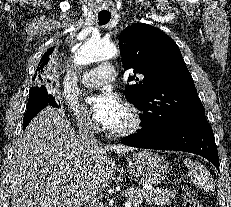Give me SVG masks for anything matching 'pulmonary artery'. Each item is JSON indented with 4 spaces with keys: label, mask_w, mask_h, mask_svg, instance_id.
I'll list each match as a JSON object with an SVG mask.
<instances>
[{
    "label": "pulmonary artery",
    "mask_w": 231,
    "mask_h": 207,
    "mask_svg": "<svg viewBox=\"0 0 231 207\" xmlns=\"http://www.w3.org/2000/svg\"><path fill=\"white\" fill-rule=\"evenodd\" d=\"M117 77L115 67L109 63H101L95 69L82 76V82L88 87H97L105 82L113 81Z\"/></svg>",
    "instance_id": "1"
}]
</instances>
